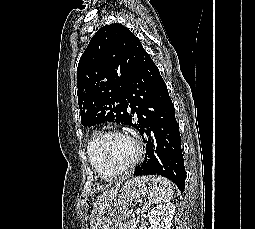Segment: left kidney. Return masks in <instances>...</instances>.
I'll return each instance as SVG.
<instances>
[{
  "instance_id": "1",
  "label": "left kidney",
  "mask_w": 255,
  "mask_h": 229,
  "mask_svg": "<svg viewBox=\"0 0 255 229\" xmlns=\"http://www.w3.org/2000/svg\"><path fill=\"white\" fill-rule=\"evenodd\" d=\"M175 205L166 203L151 209L148 220L152 229H170L171 221L175 213Z\"/></svg>"
}]
</instances>
